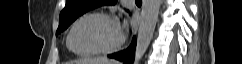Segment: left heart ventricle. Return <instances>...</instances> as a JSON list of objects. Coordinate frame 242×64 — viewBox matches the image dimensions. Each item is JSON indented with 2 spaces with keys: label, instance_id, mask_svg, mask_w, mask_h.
Listing matches in <instances>:
<instances>
[{
  "label": "left heart ventricle",
  "instance_id": "left-heart-ventricle-1",
  "mask_svg": "<svg viewBox=\"0 0 242 64\" xmlns=\"http://www.w3.org/2000/svg\"><path fill=\"white\" fill-rule=\"evenodd\" d=\"M120 37L119 27L111 20L91 17L81 21L72 35V46L77 51H89L113 45Z\"/></svg>",
  "mask_w": 242,
  "mask_h": 64
}]
</instances>
